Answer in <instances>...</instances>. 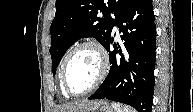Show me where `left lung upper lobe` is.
I'll return each instance as SVG.
<instances>
[{"instance_id": "1", "label": "left lung upper lobe", "mask_w": 193, "mask_h": 112, "mask_svg": "<svg viewBox=\"0 0 193 112\" xmlns=\"http://www.w3.org/2000/svg\"><path fill=\"white\" fill-rule=\"evenodd\" d=\"M132 1L56 0L55 18L50 26L53 74L67 49L80 38L94 37L105 46L116 21Z\"/></svg>"}]
</instances>
